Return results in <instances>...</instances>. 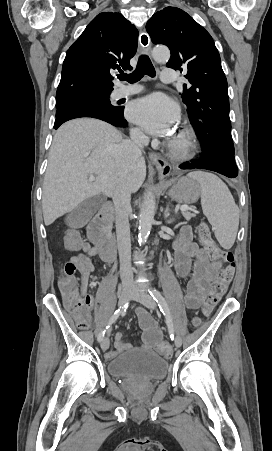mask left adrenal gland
<instances>
[{
  "label": "left adrenal gland",
  "mask_w": 272,
  "mask_h": 451,
  "mask_svg": "<svg viewBox=\"0 0 272 451\" xmlns=\"http://www.w3.org/2000/svg\"><path fill=\"white\" fill-rule=\"evenodd\" d=\"M168 216H170L169 214V206H167L165 212H164V218L166 220V224H172V222H174V220H167Z\"/></svg>",
  "instance_id": "1"
}]
</instances>
